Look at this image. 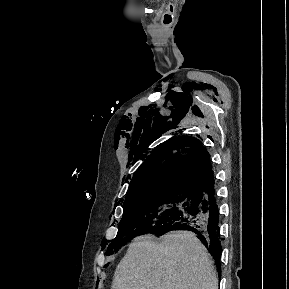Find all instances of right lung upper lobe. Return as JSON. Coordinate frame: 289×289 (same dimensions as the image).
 <instances>
[{
	"instance_id": "obj_1",
	"label": "right lung upper lobe",
	"mask_w": 289,
	"mask_h": 289,
	"mask_svg": "<svg viewBox=\"0 0 289 289\" xmlns=\"http://www.w3.org/2000/svg\"><path fill=\"white\" fill-rule=\"evenodd\" d=\"M213 185L208 151L199 139L182 136L147 157L132 177L126 200L170 192L199 195Z\"/></svg>"
}]
</instances>
